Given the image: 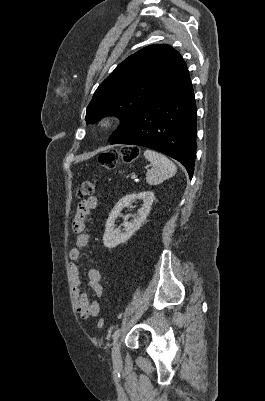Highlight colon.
<instances>
[{
    "mask_svg": "<svg viewBox=\"0 0 265 401\" xmlns=\"http://www.w3.org/2000/svg\"><path fill=\"white\" fill-rule=\"evenodd\" d=\"M139 155V150L133 146H125L120 150H108L100 154L99 162L105 169H114L121 159L125 162L134 161ZM96 181L94 179L83 181L78 187V196L87 199L93 196L95 191ZM98 328H103L104 319L100 318L98 321Z\"/></svg>",
    "mask_w": 265,
    "mask_h": 401,
    "instance_id": "1",
    "label": "colon"
}]
</instances>
